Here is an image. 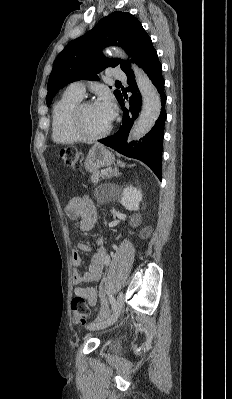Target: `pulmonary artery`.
<instances>
[{
	"label": "pulmonary artery",
	"mask_w": 232,
	"mask_h": 399,
	"mask_svg": "<svg viewBox=\"0 0 232 399\" xmlns=\"http://www.w3.org/2000/svg\"><path fill=\"white\" fill-rule=\"evenodd\" d=\"M109 74L112 80H124L125 75L123 69H110ZM87 91L84 89V84L80 81L68 84L66 89V96L83 97L86 96Z\"/></svg>",
	"instance_id": "1"
}]
</instances>
